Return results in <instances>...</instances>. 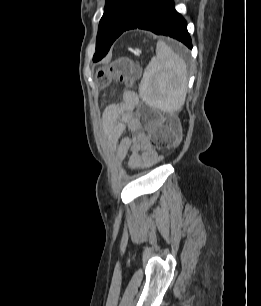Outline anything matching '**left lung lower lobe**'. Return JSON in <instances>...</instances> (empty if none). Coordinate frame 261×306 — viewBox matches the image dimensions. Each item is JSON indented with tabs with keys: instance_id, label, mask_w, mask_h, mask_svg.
<instances>
[{
	"instance_id": "obj_1",
	"label": "left lung lower lobe",
	"mask_w": 261,
	"mask_h": 306,
	"mask_svg": "<svg viewBox=\"0 0 261 306\" xmlns=\"http://www.w3.org/2000/svg\"><path fill=\"white\" fill-rule=\"evenodd\" d=\"M137 28L170 36L192 48L187 23L174 9L173 0H145L124 31Z\"/></svg>"
}]
</instances>
